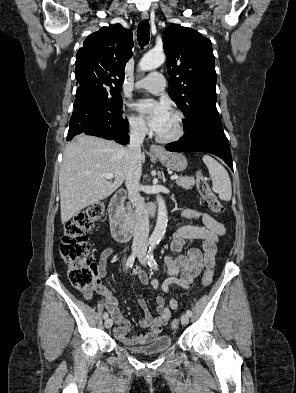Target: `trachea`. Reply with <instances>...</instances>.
<instances>
[{"label": "trachea", "mask_w": 296, "mask_h": 393, "mask_svg": "<svg viewBox=\"0 0 296 393\" xmlns=\"http://www.w3.org/2000/svg\"><path fill=\"white\" fill-rule=\"evenodd\" d=\"M137 39L141 47H144L149 43L150 32H149V22L147 20H143L139 23L137 29Z\"/></svg>", "instance_id": "trachea-1"}]
</instances>
